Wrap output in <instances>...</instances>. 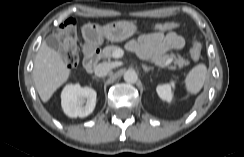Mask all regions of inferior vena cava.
Listing matches in <instances>:
<instances>
[{
  "label": "inferior vena cava",
  "instance_id": "602c4592",
  "mask_svg": "<svg viewBox=\"0 0 244 157\" xmlns=\"http://www.w3.org/2000/svg\"><path fill=\"white\" fill-rule=\"evenodd\" d=\"M111 70V65L109 63H100L95 67V75L98 77L106 76Z\"/></svg>",
  "mask_w": 244,
  "mask_h": 157
}]
</instances>
